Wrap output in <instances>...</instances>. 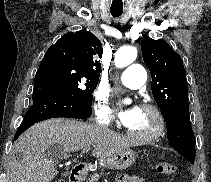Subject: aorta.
I'll return each mask as SVG.
<instances>
[{
	"mask_svg": "<svg viewBox=\"0 0 211 182\" xmlns=\"http://www.w3.org/2000/svg\"><path fill=\"white\" fill-rule=\"evenodd\" d=\"M137 57V49L132 46H123L115 54L114 63L118 68L130 65Z\"/></svg>",
	"mask_w": 211,
	"mask_h": 182,
	"instance_id": "aorta-1",
	"label": "aorta"
}]
</instances>
